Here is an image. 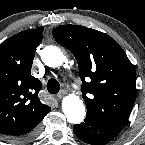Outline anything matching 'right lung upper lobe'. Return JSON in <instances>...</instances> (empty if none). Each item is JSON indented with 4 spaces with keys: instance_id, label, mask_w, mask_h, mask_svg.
Segmentation results:
<instances>
[{
    "instance_id": "cb5924a9",
    "label": "right lung upper lobe",
    "mask_w": 145,
    "mask_h": 145,
    "mask_svg": "<svg viewBox=\"0 0 145 145\" xmlns=\"http://www.w3.org/2000/svg\"><path fill=\"white\" fill-rule=\"evenodd\" d=\"M43 27L22 31L0 45V134L21 133L50 112L40 102L41 82L30 75Z\"/></svg>"
}]
</instances>
